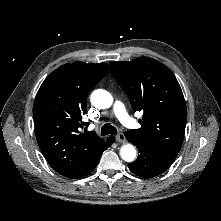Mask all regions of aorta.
I'll use <instances>...</instances> for the list:
<instances>
[{
	"label": "aorta",
	"instance_id": "762f6f07",
	"mask_svg": "<svg viewBox=\"0 0 221 221\" xmlns=\"http://www.w3.org/2000/svg\"><path fill=\"white\" fill-rule=\"evenodd\" d=\"M90 101L93 106L99 109L109 108L113 103L112 95L103 89L92 92ZM120 156L126 162H132L136 158V149L132 144H125L120 149Z\"/></svg>",
	"mask_w": 221,
	"mask_h": 221
}]
</instances>
